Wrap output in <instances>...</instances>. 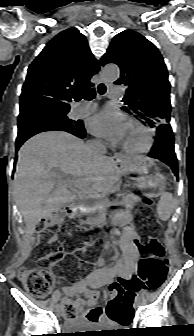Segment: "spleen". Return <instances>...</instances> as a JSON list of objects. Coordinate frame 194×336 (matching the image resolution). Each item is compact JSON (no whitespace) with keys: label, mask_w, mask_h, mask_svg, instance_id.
Here are the masks:
<instances>
[{"label":"spleen","mask_w":194,"mask_h":336,"mask_svg":"<svg viewBox=\"0 0 194 336\" xmlns=\"http://www.w3.org/2000/svg\"><path fill=\"white\" fill-rule=\"evenodd\" d=\"M175 203L176 201L171 193H164L161 196L157 206L158 215L161 220L167 221L170 218Z\"/></svg>","instance_id":"spleen-1"}]
</instances>
